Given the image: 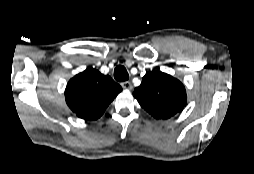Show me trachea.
<instances>
[{
    "mask_svg": "<svg viewBox=\"0 0 254 174\" xmlns=\"http://www.w3.org/2000/svg\"><path fill=\"white\" fill-rule=\"evenodd\" d=\"M114 78L117 81H127L129 79V74L124 66H117L114 70Z\"/></svg>",
    "mask_w": 254,
    "mask_h": 174,
    "instance_id": "obj_1",
    "label": "trachea"
}]
</instances>
